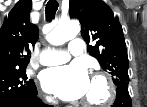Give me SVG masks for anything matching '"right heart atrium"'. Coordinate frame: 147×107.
Wrapping results in <instances>:
<instances>
[{"instance_id":"d8ad5b80","label":"right heart atrium","mask_w":147,"mask_h":107,"mask_svg":"<svg viewBox=\"0 0 147 107\" xmlns=\"http://www.w3.org/2000/svg\"><path fill=\"white\" fill-rule=\"evenodd\" d=\"M41 97L47 101H51V98L47 95L41 94Z\"/></svg>"}]
</instances>
